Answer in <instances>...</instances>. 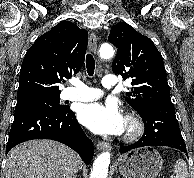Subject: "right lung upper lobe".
<instances>
[{"mask_svg":"<svg viewBox=\"0 0 194 178\" xmlns=\"http://www.w3.org/2000/svg\"><path fill=\"white\" fill-rule=\"evenodd\" d=\"M87 43L88 32L66 21L40 36L23 60L17 103L60 96L58 84L79 72Z\"/></svg>","mask_w":194,"mask_h":178,"instance_id":"cb5924a9","label":"right lung upper lobe"}]
</instances>
